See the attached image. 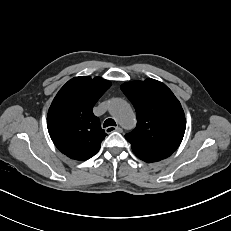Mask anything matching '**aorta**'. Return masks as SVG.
Masks as SVG:
<instances>
[{
    "mask_svg": "<svg viewBox=\"0 0 231 231\" xmlns=\"http://www.w3.org/2000/svg\"><path fill=\"white\" fill-rule=\"evenodd\" d=\"M109 111L123 125H132L133 112L130 105L123 99L113 98L109 103Z\"/></svg>",
    "mask_w": 231,
    "mask_h": 231,
    "instance_id": "aorta-1",
    "label": "aorta"
}]
</instances>
